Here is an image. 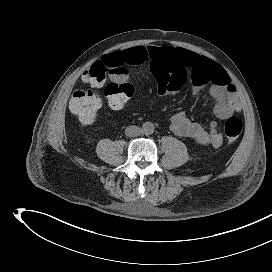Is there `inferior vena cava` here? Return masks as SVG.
Listing matches in <instances>:
<instances>
[{
  "label": "inferior vena cava",
  "instance_id": "1",
  "mask_svg": "<svg viewBox=\"0 0 272 272\" xmlns=\"http://www.w3.org/2000/svg\"><path fill=\"white\" fill-rule=\"evenodd\" d=\"M141 133L142 129L138 126L131 125L125 129V134L128 137H136L139 136Z\"/></svg>",
  "mask_w": 272,
  "mask_h": 272
}]
</instances>
